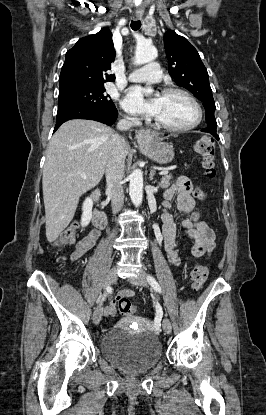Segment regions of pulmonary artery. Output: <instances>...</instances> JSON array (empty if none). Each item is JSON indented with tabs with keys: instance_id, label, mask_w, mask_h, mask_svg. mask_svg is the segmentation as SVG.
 <instances>
[{
	"instance_id": "pulmonary-artery-1",
	"label": "pulmonary artery",
	"mask_w": 266,
	"mask_h": 415,
	"mask_svg": "<svg viewBox=\"0 0 266 415\" xmlns=\"http://www.w3.org/2000/svg\"><path fill=\"white\" fill-rule=\"evenodd\" d=\"M129 80L133 82H158L161 79L159 64L151 62L129 74Z\"/></svg>"
}]
</instances>
